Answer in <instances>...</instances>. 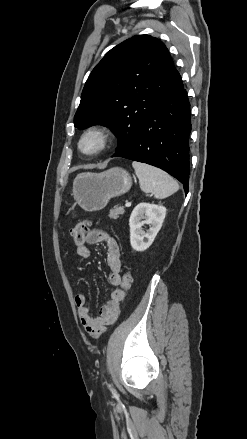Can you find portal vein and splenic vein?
<instances>
[{
    "instance_id": "18ae733b",
    "label": "portal vein and splenic vein",
    "mask_w": 247,
    "mask_h": 439,
    "mask_svg": "<svg viewBox=\"0 0 247 439\" xmlns=\"http://www.w3.org/2000/svg\"><path fill=\"white\" fill-rule=\"evenodd\" d=\"M125 206H126V207H130V206H131V202H130V201H126V202H125Z\"/></svg>"
}]
</instances>
